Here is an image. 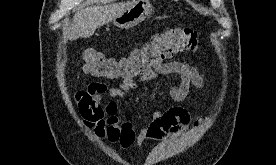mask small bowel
Returning <instances> with one entry per match:
<instances>
[{
    "mask_svg": "<svg viewBox=\"0 0 276 165\" xmlns=\"http://www.w3.org/2000/svg\"><path fill=\"white\" fill-rule=\"evenodd\" d=\"M173 74L180 77V81L170 89V97L175 101L184 100L191 86L204 87L201 74L185 61L164 62L140 80H152L159 76ZM136 87L135 79H124L117 87L111 88L102 82H91L85 90L76 93L75 103L79 113L85 125L94 131L98 139L117 144L127 150L134 144L141 147L147 141L177 134L189 125L194 127L199 125L200 120H193L187 110L173 107L164 111H155L150 121L136 132L130 121L120 119L118 104L114 100L124 97ZM105 93L111 100L102 104L101 98Z\"/></svg>",
    "mask_w": 276,
    "mask_h": 165,
    "instance_id": "small-bowel-1",
    "label": "small bowel"
}]
</instances>
